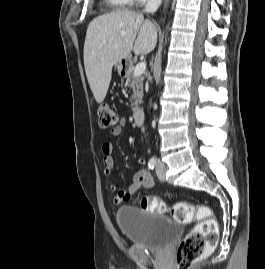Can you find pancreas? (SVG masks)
<instances>
[{"label": "pancreas", "instance_id": "pancreas-1", "mask_svg": "<svg viewBox=\"0 0 265 269\" xmlns=\"http://www.w3.org/2000/svg\"><path fill=\"white\" fill-rule=\"evenodd\" d=\"M133 69H130L127 73V80H126V87H130L133 90V95L131 96L132 103V110L136 111L138 109V105L142 102L143 96V77L134 76L132 74Z\"/></svg>", "mask_w": 265, "mask_h": 269}]
</instances>
